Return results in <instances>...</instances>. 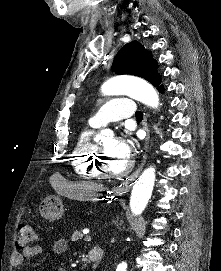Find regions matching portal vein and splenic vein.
I'll use <instances>...</instances> for the list:
<instances>
[{
    "instance_id": "obj_1",
    "label": "portal vein and splenic vein",
    "mask_w": 221,
    "mask_h": 271,
    "mask_svg": "<svg viewBox=\"0 0 221 271\" xmlns=\"http://www.w3.org/2000/svg\"><path fill=\"white\" fill-rule=\"evenodd\" d=\"M92 238H93L92 234H87L86 237H84V242H91Z\"/></svg>"
}]
</instances>
